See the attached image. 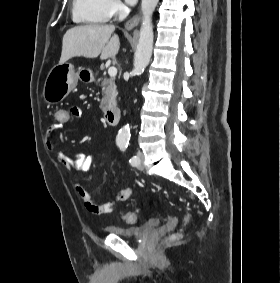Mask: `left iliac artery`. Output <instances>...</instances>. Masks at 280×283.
Returning a JSON list of instances; mask_svg holds the SVG:
<instances>
[{"mask_svg":"<svg viewBox=\"0 0 280 283\" xmlns=\"http://www.w3.org/2000/svg\"><path fill=\"white\" fill-rule=\"evenodd\" d=\"M119 147H120V149H121L122 151H125V150L127 149V147H128V143H122V144L119 145ZM138 161H139L138 156H133V157L129 160V162L131 163L132 166H136V165L138 164Z\"/></svg>","mask_w":280,"mask_h":283,"instance_id":"44dca946","label":"left iliac artery"}]
</instances>
